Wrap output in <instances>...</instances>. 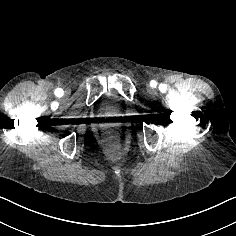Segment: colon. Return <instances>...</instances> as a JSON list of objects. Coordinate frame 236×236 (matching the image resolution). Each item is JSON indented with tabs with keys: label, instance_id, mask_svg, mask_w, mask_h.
<instances>
[{
	"label": "colon",
	"instance_id": "obj_1",
	"mask_svg": "<svg viewBox=\"0 0 236 236\" xmlns=\"http://www.w3.org/2000/svg\"><path fill=\"white\" fill-rule=\"evenodd\" d=\"M108 152L113 156H119L122 151V147L118 142L112 141L107 145Z\"/></svg>",
	"mask_w": 236,
	"mask_h": 236
}]
</instances>
